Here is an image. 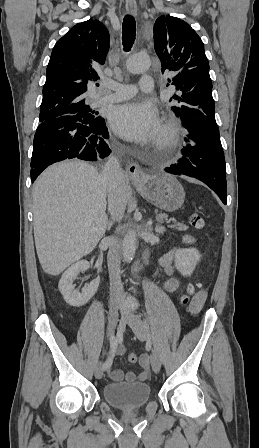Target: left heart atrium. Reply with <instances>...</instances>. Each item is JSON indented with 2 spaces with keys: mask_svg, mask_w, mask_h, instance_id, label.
<instances>
[{
  "mask_svg": "<svg viewBox=\"0 0 259 448\" xmlns=\"http://www.w3.org/2000/svg\"><path fill=\"white\" fill-rule=\"evenodd\" d=\"M110 122L116 134L132 142L157 138L161 131L156 107L145 101H131L117 106L112 111Z\"/></svg>",
  "mask_w": 259,
  "mask_h": 448,
  "instance_id": "1",
  "label": "left heart atrium"
}]
</instances>
